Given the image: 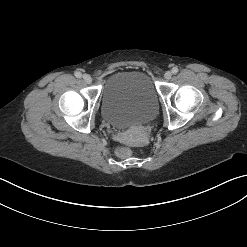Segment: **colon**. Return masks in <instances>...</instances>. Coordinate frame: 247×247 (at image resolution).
<instances>
[{"mask_svg":"<svg viewBox=\"0 0 247 247\" xmlns=\"http://www.w3.org/2000/svg\"><path fill=\"white\" fill-rule=\"evenodd\" d=\"M131 153H132V150H131V148L128 147V146H121V147H119V148L117 149V154H118L119 156L126 157V156L131 155Z\"/></svg>","mask_w":247,"mask_h":247,"instance_id":"5ec220e1","label":"colon"}]
</instances>
